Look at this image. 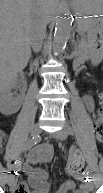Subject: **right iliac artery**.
Masks as SVG:
<instances>
[{"label": "right iliac artery", "instance_id": "obj_1", "mask_svg": "<svg viewBox=\"0 0 103 193\" xmlns=\"http://www.w3.org/2000/svg\"><path fill=\"white\" fill-rule=\"evenodd\" d=\"M41 140V137L39 135L37 136H33L24 146V151H27L29 149H31L34 145H36L37 143H39ZM20 165H21V159L19 158L13 167V172L15 174H17V172L20 170Z\"/></svg>", "mask_w": 103, "mask_h": 193}]
</instances>
